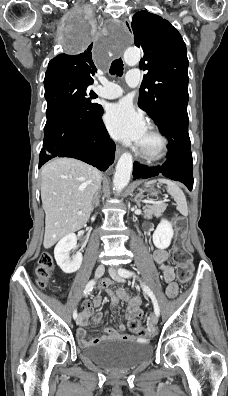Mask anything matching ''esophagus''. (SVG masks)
I'll return each instance as SVG.
<instances>
[{
	"instance_id": "esophagus-1",
	"label": "esophagus",
	"mask_w": 228,
	"mask_h": 396,
	"mask_svg": "<svg viewBox=\"0 0 228 396\" xmlns=\"http://www.w3.org/2000/svg\"><path fill=\"white\" fill-rule=\"evenodd\" d=\"M125 22H127L128 24H130L129 19H125ZM121 152H122V149L118 146V147L116 148V153H115L116 158H118V157L120 156Z\"/></svg>"
}]
</instances>
